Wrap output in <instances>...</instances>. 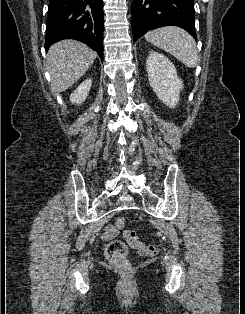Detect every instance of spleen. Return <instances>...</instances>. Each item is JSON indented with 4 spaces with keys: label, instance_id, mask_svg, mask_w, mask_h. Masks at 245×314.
<instances>
[{
    "label": "spleen",
    "instance_id": "1",
    "mask_svg": "<svg viewBox=\"0 0 245 314\" xmlns=\"http://www.w3.org/2000/svg\"><path fill=\"white\" fill-rule=\"evenodd\" d=\"M145 39L173 55L186 67L197 66L198 52L195 40L184 29L175 26L154 29L145 34Z\"/></svg>",
    "mask_w": 245,
    "mask_h": 314
}]
</instances>
